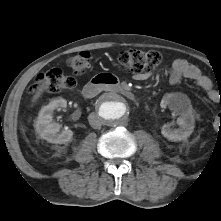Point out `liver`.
<instances>
[{"label": "liver", "mask_w": 221, "mask_h": 221, "mask_svg": "<svg viewBox=\"0 0 221 221\" xmlns=\"http://www.w3.org/2000/svg\"><path fill=\"white\" fill-rule=\"evenodd\" d=\"M44 88H45V85H42L40 87L39 91L33 96L32 102H35L39 98V96L43 92Z\"/></svg>", "instance_id": "1"}]
</instances>
